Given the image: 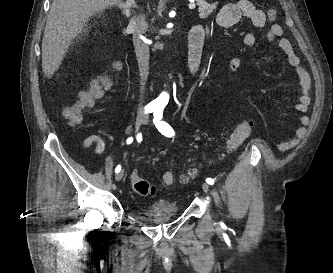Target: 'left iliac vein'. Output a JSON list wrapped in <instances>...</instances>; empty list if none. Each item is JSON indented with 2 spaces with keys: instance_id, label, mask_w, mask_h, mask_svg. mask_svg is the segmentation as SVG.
I'll return each mask as SVG.
<instances>
[{
  "instance_id": "1",
  "label": "left iliac vein",
  "mask_w": 333,
  "mask_h": 273,
  "mask_svg": "<svg viewBox=\"0 0 333 273\" xmlns=\"http://www.w3.org/2000/svg\"><path fill=\"white\" fill-rule=\"evenodd\" d=\"M142 123L143 124H149L150 123V120H149V117L148 116H145L144 119L142 120ZM202 189L205 191V192H209V186L208 184L206 183H202Z\"/></svg>"
}]
</instances>
